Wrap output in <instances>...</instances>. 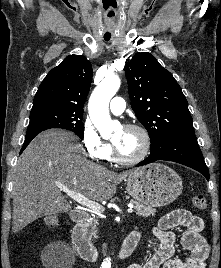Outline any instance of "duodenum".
<instances>
[{
  "label": "duodenum",
  "instance_id": "1",
  "mask_svg": "<svg viewBox=\"0 0 221 268\" xmlns=\"http://www.w3.org/2000/svg\"><path fill=\"white\" fill-rule=\"evenodd\" d=\"M74 227L72 230V242L80 257L84 260L94 262L98 259L99 251L91 243L85 233V226L88 220V214L84 211H75L72 214ZM140 234L137 231L130 232L119 247L116 256L118 260H124L129 257L137 246Z\"/></svg>",
  "mask_w": 221,
  "mask_h": 268
}]
</instances>
